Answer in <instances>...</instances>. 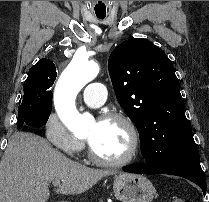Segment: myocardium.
Wrapping results in <instances>:
<instances>
[{
	"mask_svg": "<svg viewBox=\"0 0 209 202\" xmlns=\"http://www.w3.org/2000/svg\"><path fill=\"white\" fill-rule=\"evenodd\" d=\"M99 121H118L122 123L130 134L131 148L125 157L118 160H110L100 156L94 149L89 139H86L90 159L101 166L110 168H122L132 163L138 157L140 152V136L133 121L127 115L118 112L104 114L99 118Z\"/></svg>",
	"mask_w": 209,
	"mask_h": 202,
	"instance_id": "myocardium-1",
	"label": "myocardium"
}]
</instances>
